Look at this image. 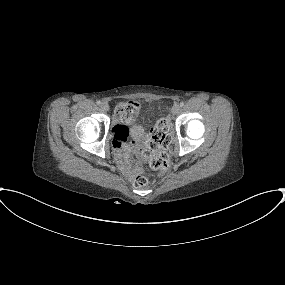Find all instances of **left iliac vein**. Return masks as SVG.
Segmentation results:
<instances>
[{"instance_id": "obj_1", "label": "left iliac vein", "mask_w": 285, "mask_h": 285, "mask_svg": "<svg viewBox=\"0 0 285 285\" xmlns=\"http://www.w3.org/2000/svg\"><path fill=\"white\" fill-rule=\"evenodd\" d=\"M171 112H172L173 114L179 113V112H180V106L177 105V104H175V105L172 107Z\"/></svg>"}]
</instances>
